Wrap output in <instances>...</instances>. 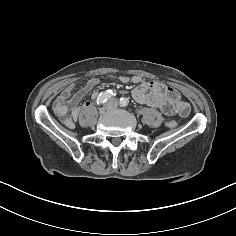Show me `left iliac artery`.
Listing matches in <instances>:
<instances>
[{
    "label": "left iliac artery",
    "mask_w": 236,
    "mask_h": 236,
    "mask_svg": "<svg viewBox=\"0 0 236 236\" xmlns=\"http://www.w3.org/2000/svg\"><path fill=\"white\" fill-rule=\"evenodd\" d=\"M129 101L126 98H121L119 104L121 107L126 108L128 106Z\"/></svg>",
    "instance_id": "1"
}]
</instances>
